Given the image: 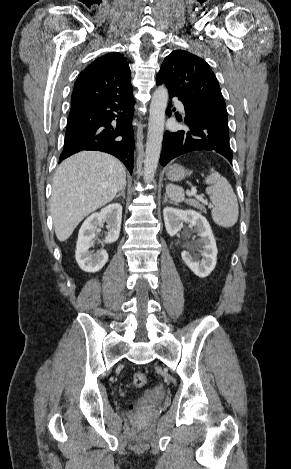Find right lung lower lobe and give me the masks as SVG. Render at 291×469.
Here are the masks:
<instances>
[{
	"instance_id": "98d812e1",
	"label": "right lung lower lobe",
	"mask_w": 291,
	"mask_h": 469,
	"mask_svg": "<svg viewBox=\"0 0 291 469\" xmlns=\"http://www.w3.org/2000/svg\"><path fill=\"white\" fill-rule=\"evenodd\" d=\"M134 104L132 95L111 92L72 105L59 162L83 150H96L114 155L132 173Z\"/></svg>"
}]
</instances>
